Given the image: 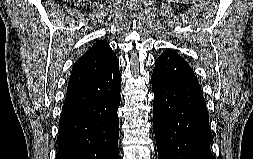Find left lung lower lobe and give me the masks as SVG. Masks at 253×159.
Instances as JSON below:
<instances>
[{
	"instance_id": "obj_1",
	"label": "left lung lower lobe",
	"mask_w": 253,
	"mask_h": 159,
	"mask_svg": "<svg viewBox=\"0 0 253 159\" xmlns=\"http://www.w3.org/2000/svg\"><path fill=\"white\" fill-rule=\"evenodd\" d=\"M151 80L158 159H215L208 111L188 63L166 50L156 60Z\"/></svg>"
}]
</instances>
